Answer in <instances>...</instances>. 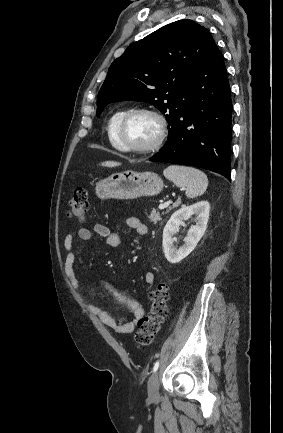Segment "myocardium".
<instances>
[{
    "label": "myocardium",
    "instance_id": "f54148a6",
    "mask_svg": "<svg viewBox=\"0 0 283 433\" xmlns=\"http://www.w3.org/2000/svg\"><path fill=\"white\" fill-rule=\"evenodd\" d=\"M150 114L154 116L160 123V134L158 139L149 147L138 148L128 144L124 138V130L129 121L137 114ZM169 123L166 116L159 110L153 107H137L128 110L120 119L116 129V139L122 151L130 152L138 155L148 156L158 153L167 138Z\"/></svg>",
    "mask_w": 283,
    "mask_h": 433
}]
</instances>
